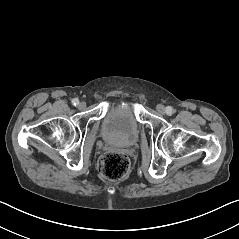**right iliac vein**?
I'll return each mask as SVG.
<instances>
[{"label":"right iliac vein","mask_w":239,"mask_h":239,"mask_svg":"<svg viewBox=\"0 0 239 239\" xmlns=\"http://www.w3.org/2000/svg\"><path fill=\"white\" fill-rule=\"evenodd\" d=\"M86 107V103L85 102H80V104L78 105L79 109H84Z\"/></svg>","instance_id":"63e3f726"}]
</instances>
